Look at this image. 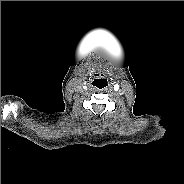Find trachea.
I'll return each mask as SVG.
<instances>
[{
	"label": "trachea",
	"mask_w": 184,
	"mask_h": 184,
	"mask_svg": "<svg viewBox=\"0 0 184 184\" xmlns=\"http://www.w3.org/2000/svg\"><path fill=\"white\" fill-rule=\"evenodd\" d=\"M108 85V82L105 78H96L92 81V86L97 89H103Z\"/></svg>",
	"instance_id": "1"
}]
</instances>
